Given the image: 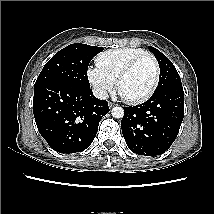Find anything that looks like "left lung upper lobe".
<instances>
[{"instance_id": "5c2ea615", "label": "left lung upper lobe", "mask_w": 214, "mask_h": 214, "mask_svg": "<svg viewBox=\"0 0 214 214\" xmlns=\"http://www.w3.org/2000/svg\"><path fill=\"white\" fill-rule=\"evenodd\" d=\"M148 48L154 54L160 66V78L155 92L171 85L182 84L180 76L172 62L156 48L152 46Z\"/></svg>"}]
</instances>
